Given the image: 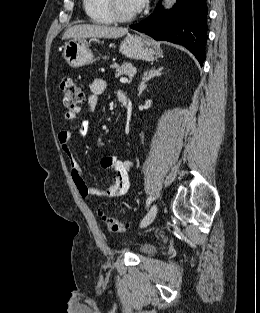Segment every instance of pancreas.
Returning a JSON list of instances; mask_svg holds the SVG:
<instances>
[{
  "label": "pancreas",
  "mask_w": 260,
  "mask_h": 313,
  "mask_svg": "<svg viewBox=\"0 0 260 313\" xmlns=\"http://www.w3.org/2000/svg\"><path fill=\"white\" fill-rule=\"evenodd\" d=\"M112 68L115 69V77L118 78L122 75L133 74V65L131 63H123V65L113 64Z\"/></svg>",
  "instance_id": "1"
}]
</instances>
